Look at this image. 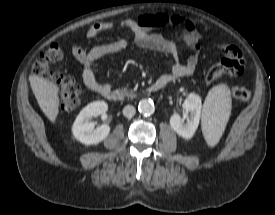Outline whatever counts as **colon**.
Returning a JSON list of instances; mask_svg holds the SVG:
<instances>
[{
    "instance_id": "obj_1",
    "label": "colon",
    "mask_w": 275,
    "mask_h": 215,
    "mask_svg": "<svg viewBox=\"0 0 275 215\" xmlns=\"http://www.w3.org/2000/svg\"><path fill=\"white\" fill-rule=\"evenodd\" d=\"M174 25L189 26L187 21L179 17L166 19ZM218 51L222 54L220 63L212 66L205 75L207 83L211 84L220 79L222 75L240 76L246 67V60L239 48L228 44H218ZM64 53L61 46L57 43L51 44L41 53L33 65L35 75L54 81L59 88L60 106L64 111H73L80 104L81 88L79 84L58 72L50 69L51 64L63 59ZM233 95L240 101H247L250 98V91L244 87L233 89Z\"/></svg>"
}]
</instances>
